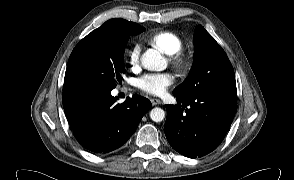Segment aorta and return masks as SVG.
<instances>
[{
    "label": "aorta",
    "instance_id": "1",
    "mask_svg": "<svg viewBox=\"0 0 294 180\" xmlns=\"http://www.w3.org/2000/svg\"><path fill=\"white\" fill-rule=\"evenodd\" d=\"M143 67L150 71H162L167 67V61L154 49H148L141 57ZM150 118L154 122H161L165 118V112L159 107H155L150 112Z\"/></svg>",
    "mask_w": 294,
    "mask_h": 180
}]
</instances>
